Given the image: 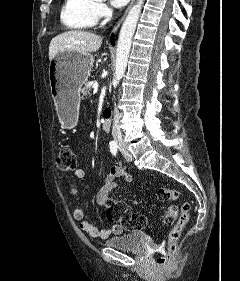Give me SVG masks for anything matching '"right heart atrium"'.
<instances>
[{"label":"right heart atrium","mask_w":240,"mask_h":281,"mask_svg":"<svg viewBox=\"0 0 240 281\" xmlns=\"http://www.w3.org/2000/svg\"><path fill=\"white\" fill-rule=\"evenodd\" d=\"M96 13H97V17L99 19H106V18L110 17L111 10L109 9V7L106 4L97 3Z\"/></svg>","instance_id":"1"}]
</instances>
